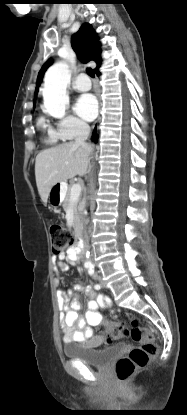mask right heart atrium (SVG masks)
<instances>
[{"instance_id":"right-heart-atrium-1","label":"right heart atrium","mask_w":187,"mask_h":415,"mask_svg":"<svg viewBox=\"0 0 187 415\" xmlns=\"http://www.w3.org/2000/svg\"><path fill=\"white\" fill-rule=\"evenodd\" d=\"M57 129L60 132L62 139L72 140L77 136L86 133L88 126L77 117L66 115L58 121Z\"/></svg>"}]
</instances>
